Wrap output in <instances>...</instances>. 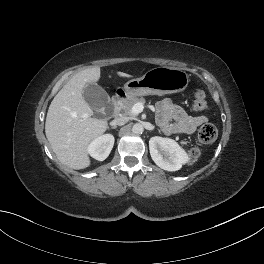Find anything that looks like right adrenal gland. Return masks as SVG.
Segmentation results:
<instances>
[{"instance_id": "obj_1", "label": "right adrenal gland", "mask_w": 264, "mask_h": 264, "mask_svg": "<svg viewBox=\"0 0 264 264\" xmlns=\"http://www.w3.org/2000/svg\"><path fill=\"white\" fill-rule=\"evenodd\" d=\"M116 128H117L116 126L111 127V129H116Z\"/></svg>"}]
</instances>
